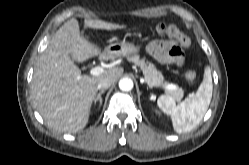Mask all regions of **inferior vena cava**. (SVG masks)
Instances as JSON below:
<instances>
[{"label":"inferior vena cava","mask_w":249,"mask_h":165,"mask_svg":"<svg viewBox=\"0 0 249 165\" xmlns=\"http://www.w3.org/2000/svg\"><path fill=\"white\" fill-rule=\"evenodd\" d=\"M112 85V81L108 78L101 79L97 85L99 90L108 89Z\"/></svg>","instance_id":"1"}]
</instances>
